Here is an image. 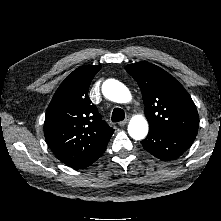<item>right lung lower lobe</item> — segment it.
I'll use <instances>...</instances> for the list:
<instances>
[{
    "label": "right lung lower lobe",
    "instance_id": "obj_1",
    "mask_svg": "<svg viewBox=\"0 0 221 221\" xmlns=\"http://www.w3.org/2000/svg\"><path fill=\"white\" fill-rule=\"evenodd\" d=\"M104 151H105V150H104ZM104 151H103V152H104ZM103 152H101L100 154L96 155V156L93 157L92 159H90V160H88V161L82 163L81 165H79L78 167H75V168H76V169H82V168H85V167L91 165L93 162H95V161L102 155Z\"/></svg>",
    "mask_w": 221,
    "mask_h": 221
}]
</instances>
